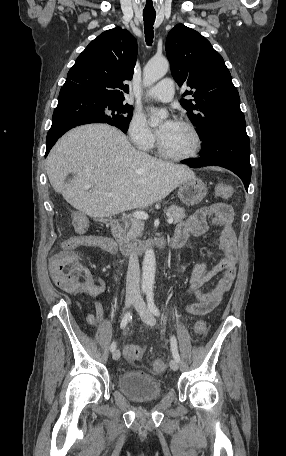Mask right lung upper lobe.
<instances>
[{
	"label": "right lung upper lobe",
	"mask_w": 286,
	"mask_h": 456,
	"mask_svg": "<svg viewBox=\"0 0 286 456\" xmlns=\"http://www.w3.org/2000/svg\"><path fill=\"white\" fill-rule=\"evenodd\" d=\"M137 58V41L116 27L100 34L78 56L62 88H76L111 101H124Z\"/></svg>",
	"instance_id": "cb5924a9"
}]
</instances>
